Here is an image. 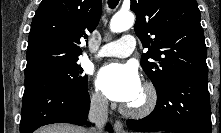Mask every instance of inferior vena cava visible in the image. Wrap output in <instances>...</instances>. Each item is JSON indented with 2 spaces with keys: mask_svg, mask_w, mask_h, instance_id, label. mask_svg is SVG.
I'll list each match as a JSON object with an SVG mask.
<instances>
[{
  "mask_svg": "<svg viewBox=\"0 0 221 133\" xmlns=\"http://www.w3.org/2000/svg\"><path fill=\"white\" fill-rule=\"evenodd\" d=\"M88 119L95 124L92 133H103V126L108 119V100L103 95L92 97Z\"/></svg>",
  "mask_w": 221,
  "mask_h": 133,
  "instance_id": "inferior-vena-cava-1",
  "label": "inferior vena cava"
}]
</instances>
